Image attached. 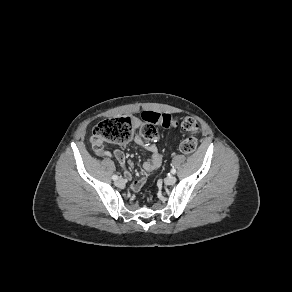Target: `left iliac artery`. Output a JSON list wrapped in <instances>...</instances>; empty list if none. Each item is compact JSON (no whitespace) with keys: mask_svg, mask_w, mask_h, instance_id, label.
Wrapping results in <instances>:
<instances>
[{"mask_svg":"<svg viewBox=\"0 0 292 292\" xmlns=\"http://www.w3.org/2000/svg\"><path fill=\"white\" fill-rule=\"evenodd\" d=\"M171 173H172V174H175V173H176V169H174V168L171 169Z\"/></svg>","mask_w":292,"mask_h":292,"instance_id":"1","label":"left iliac artery"}]
</instances>
